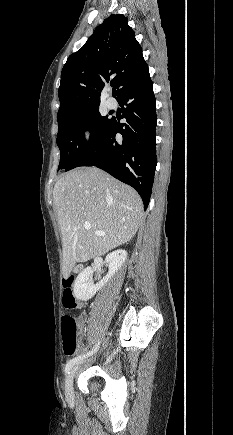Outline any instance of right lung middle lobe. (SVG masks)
Here are the masks:
<instances>
[{
  "mask_svg": "<svg viewBox=\"0 0 233 435\" xmlns=\"http://www.w3.org/2000/svg\"><path fill=\"white\" fill-rule=\"evenodd\" d=\"M112 120L102 117L98 107L79 115L58 118L57 145L61 153L58 169L68 171L77 167L104 137ZM87 129L91 130L89 142L83 139Z\"/></svg>",
  "mask_w": 233,
  "mask_h": 435,
  "instance_id": "1",
  "label": "right lung middle lobe"
}]
</instances>
